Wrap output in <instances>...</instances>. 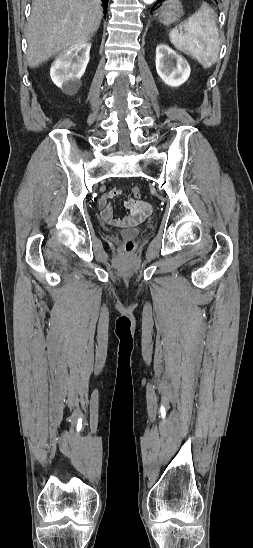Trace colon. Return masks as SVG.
Segmentation results:
<instances>
[{"mask_svg": "<svg viewBox=\"0 0 253 548\" xmlns=\"http://www.w3.org/2000/svg\"><path fill=\"white\" fill-rule=\"evenodd\" d=\"M132 195L136 198V199H139L141 197V190L139 187H133L132 188ZM122 249L123 251H125L126 253H131L133 250H134V242L132 240H127L124 242V244L122 245Z\"/></svg>", "mask_w": 253, "mask_h": 548, "instance_id": "5ec220e1", "label": "colon"}]
</instances>
